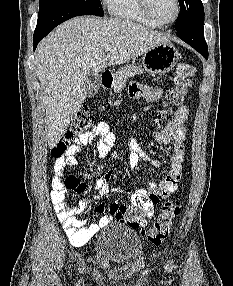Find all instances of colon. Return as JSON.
<instances>
[{
    "label": "colon",
    "instance_id": "obj_1",
    "mask_svg": "<svg viewBox=\"0 0 233 286\" xmlns=\"http://www.w3.org/2000/svg\"><path fill=\"white\" fill-rule=\"evenodd\" d=\"M195 67L186 62H180L175 69V86L167 93V102L175 106H181L191 88L192 77ZM94 123V116L87 107L81 108L66 131L63 139L51 150V156L56 161L62 158L70 149L71 143L83 131L88 130ZM64 187L75 192L85 191V185L74 175L68 176L63 183ZM181 212V204L177 200L165 202L161 206L160 214L153 225L142 231L151 243L160 244L169 235L175 219ZM128 220L131 225L139 227L142 225L143 214L141 209L135 205L128 211Z\"/></svg>",
    "mask_w": 233,
    "mask_h": 286
}]
</instances>
